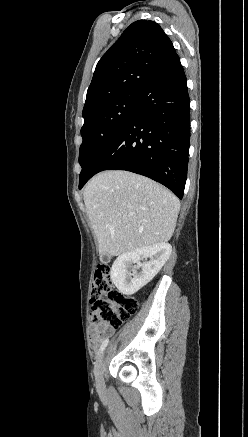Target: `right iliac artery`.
<instances>
[{
    "mask_svg": "<svg viewBox=\"0 0 248 437\" xmlns=\"http://www.w3.org/2000/svg\"><path fill=\"white\" fill-rule=\"evenodd\" d=\"M108 342H109L108 339H105V340L102 342L98 354H100L101 352H103V350H104V349L106 348V346L108 345Z\"/></svg>",
    "mask_w": 248,
    "mask_h": 437,
    "instance_id": "right-iliac-artery-1",
    "label": "right iliac artery"
}]
</instances>
